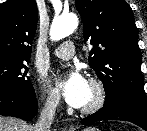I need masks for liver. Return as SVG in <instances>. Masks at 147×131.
<instances>
[{
	"label": "liver",
	"instance_id": "liver-1",
	"mask_svg": "<svg viewBox=\"0 0 147 131\" xmlns=\"http://www.w3.org/2000/svg\"><path fill=\"white\" fill-rule=\"evenodd\" d=\"M0 131H34V127L17 118L0 116Z\"/></svg>",
	"mask_w": 147,
	"mask_h": 131
}]
</instances>
